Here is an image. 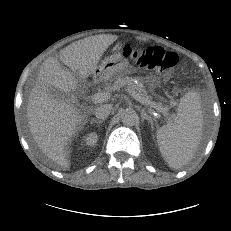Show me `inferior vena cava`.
Here are the masks:
<instances>
[{
    "instance_id": "obj_1",
    "label": "inferior vena cava",
    "mask_w": 231,
    "mask_h": 231,
    "mask_svg": "<svg viewBox=\"0 0 231 231\" xmlns=\"http://www.w3.org/2000/svg\"><path fill=\"white\" fill-rule=\"evenodd\" d=\"M112 105L111 104H103L97 107L94 111L96 118L98 119H106L111 113Z\"/></svg>"
}]
</instances>
